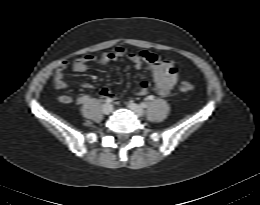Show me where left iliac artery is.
Segmentation results:
<instances>
[{"label": "left iliac artery", "mask_w": 260, "mask_h": 205, "mask_svg": "<svg viewBox=\"0 0 260 205\" xmlns=\"http://www.w3.org/2000/svg\"><path fill=\"white\" fill-rule=\"evenodd\" d=\"M149 99L152 100V99H153V96H149ZM141 107H142V108H146V107H147V104H146V103H141Z\"/></svg>", "instance_id": "left-iliac-artery-1"}]
</instances>
